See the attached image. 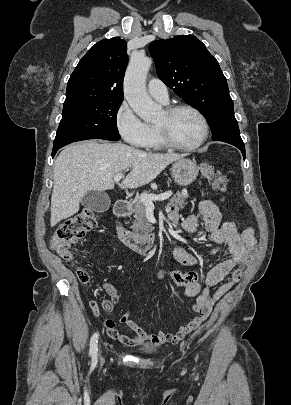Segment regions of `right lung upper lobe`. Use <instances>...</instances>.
Segmentation results:
<instances>
[{"mask_svg":"<svg viewBox=\"0 0 291 405\" xmlns=\"http://www.w3.org/2000/svg\"><path fill=\"white\" fill-rule=\"evenodd\" d=\"M126 45V41L119 37L93 45L71 74L64 103L123 100V79L128 63Z\"/></svg>","mask_w":291,"mask_h":405,"instance_id":"obj_1","label":"right lung upper lobe"}]
</instances>
